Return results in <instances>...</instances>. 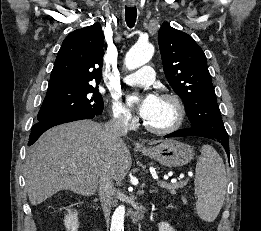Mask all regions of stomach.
<instances>
[{"label":"stomach","instance_id":"obj_1","mask_svg":"<svg viewBox=\"0 0 261 231\" xmlns=\"http://www.w3.org/2000/svg\"><path fill=\"white\" fill-rule=\"evenodd\" d=\"M141 153L167 167H179L189 163L194 156L193 148L176 140H165L157 146L143 148Z\"/></svg>","mask_w":261,"mask_h":231}]
</instances>
